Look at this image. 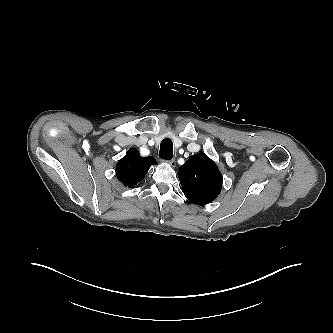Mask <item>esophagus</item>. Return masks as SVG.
Segmentation results:
<instances>
[{
    "mask_svg": "<svg viewBox=\"0 0 333 333\" xmlns=\"http://www.w3.org/2000/svg\"><path fill=\"white\" fill-rule=\"evenodd\" d=\"M172 167L176 166V161L174 159L167 161Z\"/></svg>",
    "mask_w": 333,
    "mask_h": 333,
    "instance_id": "1",
    "label": "esophagus"
}]
</instances>
